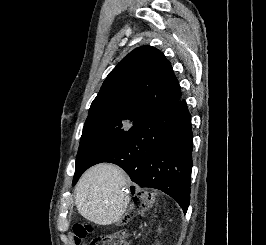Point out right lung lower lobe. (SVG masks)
Wrapping results in <instances>:
<instances>
[{
  "label": "right lung lower lobe",
  "mask_w": 266,
  "mask_h": 245,
  "mask_svg": "<svg viewBox=\"0 0 266 245\" xmlns=\"http://www.w3.org/2000/svg\"><path fill=\"white\" fill-rule=\"evenodd\" d=\"M192 148L191 115L185 100L180 98L144 116L87 168L101 162L117 164L140 187L165 192L186 213L190 201Z\"/></svg>",
  "instance_id": "obj_1"
}]
</instances>
